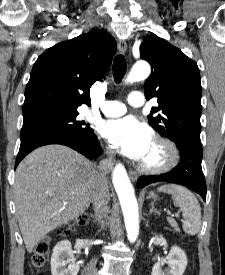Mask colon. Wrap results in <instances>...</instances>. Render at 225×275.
<instances>
[{
	"label": "colon",
	"instance_id": "colon-1",
	"mask_svg": "<svg viewBox=\"0 0 225 275\" xmlns=\"http://www.w3.org/2000/svg\"><path fill=\"white\" fill-rule=\"evenodd\" d=\"M88 220V216L86 214H81L77 218L76 222L74 224H66L61 227L60 234L66 235L69 234L73 227L75 226H83L86 224ZM49 252V240L45 239L40 241L35 249V252L32 257V263L35 267L40 268L42 267L46 262V257Z\"/></svg>",
	"mask_w": 225,
	"mask_h": 275
}]
</instances>
